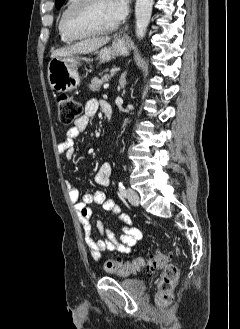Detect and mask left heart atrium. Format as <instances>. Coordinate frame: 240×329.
Instances as JSON below:
<instances>
[{"label": "left heart atrium", "mask_w": 240, "mask_h": 329, "mask_svg": "<svg viewBox=\"0 0 240 329\" xmlns=\"http://www.w3.org/2000/svg\"><path fill=\"white\" fill-rule=\"evenodd\" d=\"M111 15L116 22L124 19L128 13V0H107Z\"/></svg>", "instance_id": "left-heart-atrium-1"}]
</instances>
